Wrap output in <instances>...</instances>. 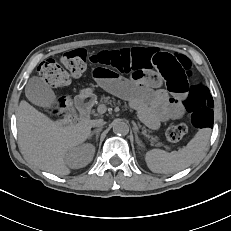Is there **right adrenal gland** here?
<instances>
[{"mask_svg": "<svg viewBox=\"0 0 231 231\" xmlns=\"http://www.w3.org/2000/svg\"><path fill=\"white\" fill-rule=\"evenodd\" d=\"M101 130H102V127H101V128H98V129H96V130H94V131L91 133L90 138H92L93 135L96 134V141H97L98 138H99V133L101 132Z\"/></svg>", "mask_w": 231, "mask_h": 231, "instance_id": "obj_1", "label": "right adrenal gland"}]
</instances>
